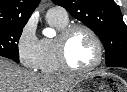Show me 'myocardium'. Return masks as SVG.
Here are the masks:
<instances>
[{
    "instance_id": "f54148a6",
    "label": "myocardium",
    "mask_w": 127,
    "mask_h": 92,
    "mask_svg": "<svg viewBox=\"0 0 127 92\" xmlns=\"http://www.w3.org/2000/svg\"><path fill=\"white\" fill-rule=\"evenodd\" d=\"M78 30H83L87 32L93 39L96 48H97V58L94 61V63L86 68L83 69H78L75 68L71 65V63L68 60V55H67V48H68V43L73 35ZM55 47H56V53H57V58L60 67L62 70L69 72V73H74V74H84L88 73L97 67H99L103 61L104 58V48L102 41L96 31L92 29L90 26L85 25V24H70L67 27H65L58 35L55 41Z\"/></svg>"
}]
</instances>
